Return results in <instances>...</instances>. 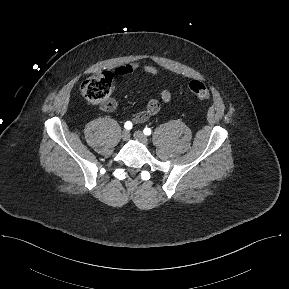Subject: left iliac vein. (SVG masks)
<instances>
[{
    "mask_svg": "<svg viewBox=\"0 0 289 289\" xmlns=\"http://www.w3.org/2000/svg\"><path fill=\"white\" fill-rule=\"evenodd\" d=\"M134 138L138 140L139 142L143 143L144 145L148 144L147 137L139 130L134 132Z\"/></svg>",
    "mask_w": 289,
    "mask_h": 289,
    "instance_id": "obj_1",
    "label": "left iliac vein"
}]
</instances>
